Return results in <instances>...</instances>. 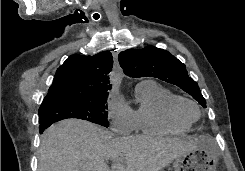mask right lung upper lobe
I'll return each instance as SVG.
<instances>
[{
  "instance_id": "cb5924a9",
  "label": "right lung upper lobe",
  "mask_w": 245,
  "mask_h": 171,
  "mask_svg": "<svg viewBox=\"0 0 245 171\" xmlns=\"http://www.w3.org/2000/svg\"><path fill=\"white\" fill-rule=\"evenodd\" d=\"M112 54L103 51L93 56L71 55L55 74L43 102L59 99H90L108 94ZM42 102V103H43Z\"/></svg>"
}]
</instances>
